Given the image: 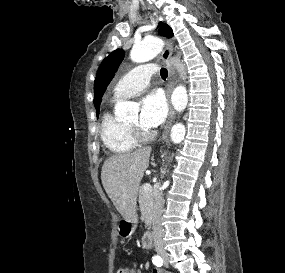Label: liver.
Listing matches in <instances>:
<instances>
[{
  "instance_id": "obj_1",
  "label": "liver",
  "mask_w": 285,
  "mask_h": 273,
  "mask_svg": "<svg viewBox=\"0 0 285 273\" xmlns=\"http://www.w3.org/2000/svg\"><path fill=\"white\" fill-rule=\"evenodd\" d=\"M150 147L110 156L103 164L101 180L109 198L125 220L136 218L139 184L149 166Z\"/></svg>"
}]
</instances>
